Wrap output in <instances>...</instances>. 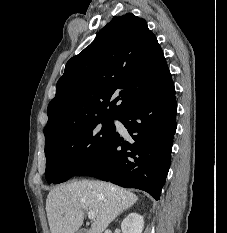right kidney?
Instances as JSON below:
<instances>
[{"mask_svg": "<svg viewBox=\"0 0 227 233\" xmlns=\"http://www.w3.org/2000/svg\"><path fill=\"white\" fill-rule=\"evenodd\" d=\"M144 219L137 213H130L121 223L122 233H142Z\"/></svg>", "mask_w": 227, "mask_h": 233, "instance_id": "right-kidney-1", "label": "right kidney"}]
</instances>
